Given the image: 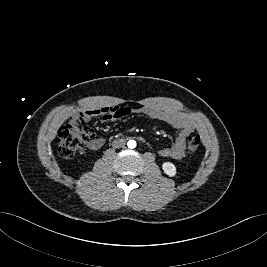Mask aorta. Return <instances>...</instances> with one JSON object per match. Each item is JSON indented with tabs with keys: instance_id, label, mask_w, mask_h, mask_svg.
<instances>
[{
	"instance_id": "1",
	"label": "aorta",
	"mask_w": 267,
	"mask_h": 267,
	"mask_svg": "<svg viewBox=\"0 0 267 267\" xmlns=\"http://www.w3.org/2000/svg\"><path fill=\"white\" fill-rule=\"evenodd\" d=\"M128 147L130 149H133L136 147V141L135 140H129L128 143H127Z\"/></svg>"
}]
</instances>
